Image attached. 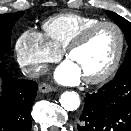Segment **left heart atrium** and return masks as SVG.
<instances>
[{
	"label": "left heart atrium",
	"mask_w": 131,
	"mask_h": 131,
	"mask_svg": "<svg viewBox=\"0 0 131 131\" xmlns=\"http://www.w3.org/2000/svg\"><path fill=\"white\" fill-rule=\"evenodd\" d=\"M82 76L77 67L69 60L64 61L55 71V79L65 85H74L80 82Z\"/></svg>",
	"instance_id": "left-heart-atrium-1"
}]
</instances>
